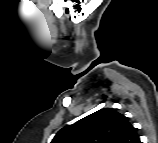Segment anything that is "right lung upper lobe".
<instances>
[{"label": "right lung upper lobe", "mask_w": 158, "mask_h": 143, "mask_svg": "<svg viewBox=\"0 0 158 143\" xmlns=\"http://www.w3.org/2000/svg\"><path fill=\"white\" fill-rule=\"evenodd\" d=\"M136 129L113 108L98 110L62 128L51 143H139Z\"/></svg>", "instance_id": "obj_1"}]
</instances>
